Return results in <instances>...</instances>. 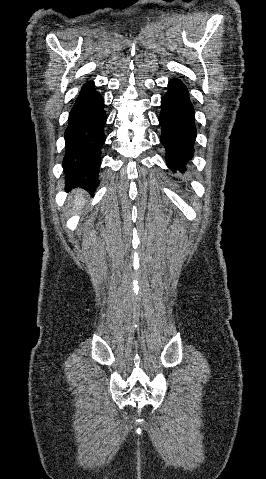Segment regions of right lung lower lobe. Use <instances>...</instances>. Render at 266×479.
I'll return each mask as SVG.
<instances>
[{"mask_svg": "<svg viewBox=\"0 0 266 479\" xmlns=\"http://www.w3.org/2000/svg\"><path fill=\"white\" fill-rule=\"evenodd\" d=\"M94 85L93 81L83 85L70 111L62 163L67 189L79 186L91 193L99 184L100 153L105 142L103 127L106 123L104 99Z\"/></svg>", "mask_w": 266, "mask_h": 479, "instance_id": "1", "label": "right lung lower lobe"}]
</instances>
